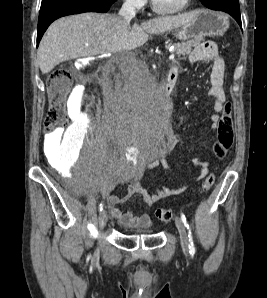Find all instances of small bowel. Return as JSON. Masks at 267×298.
<instances>
[{
	"label": "small bowel",
	"instance_id": "obj_1",
	"mask_svg": "<svg viewBox=\"0 0 267 298\" xmlns=\"http://www.w3.org/2000/svg\"><path fill=\"white\" fill-rule=\"evenodd\" d=\"M189 61L192 63L205 62L211 64L208 95L212 99L214 112L210 115L209 121L211 128L217 131L222 116L221 114H223L228 108L223 89L225 63L219 54L217 45L213 42H203L196 46L189 55ZM175 68L177 69V67ZM65 137L66 131L57 130L52 134L49 140L51 143H56ZM193 163L201 168L200 176H205L208 170V162L195 158L193 159ZM156 166L157 163L154 162L151 164L150 168ZM140 178L141 175L138 173L131 175L121 174L113 181L104 185L101 189L102 197L110 206L111 216L118 220L122 227L132 229H149L152 226V217L149 214L144 213L141 215H135L132 211L123 212L118 208V205L126 202L133 195H140L149 206H153L160 200L169 196L181 194L189 188L188 185H183L176 189L158 187L154 192L148 193L142 187ZM120 183H128L126 195L123 198H120L112 193L115 185Z\"/></svg>",
	"mask_w": 267,
	"mask_h": 298
}]
</instances>
